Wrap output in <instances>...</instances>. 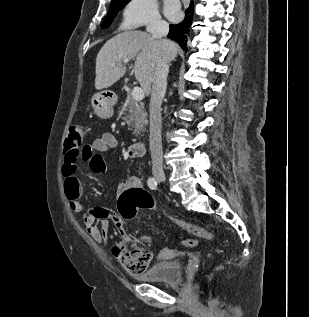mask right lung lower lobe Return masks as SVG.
<instances>
[{"instance_id": "98d812e1", "label": "right lung lower lobe", "mask_w": 309, "mask_h": 317, "mask_svg": "<svg viewBox=\"0 0 309 317\" xmlns=\"http://www.w3.org/2000/svg\"><path fill=\"white\" fill-rule=\"evenodd\" d=\"M193 2L186 10L185 19L178 25H170L168 37L176 41L183 49L186 48V42L190 31V26L193 21Z\"/></svg>"}]
</instances>
